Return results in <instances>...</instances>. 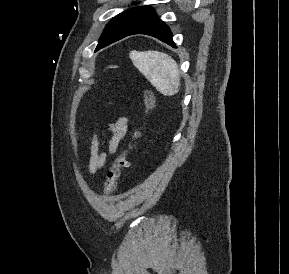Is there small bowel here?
Segmentation results:
<instances>
[{"instance_id": "1", "label": "small bowel", "mask_w": 289, "mask_h": 274, "mask_svg": "<svg viewBox=\"0 0 289 274\" xmlns=\"http://www.w3.org/2000/svg\"><path fill=\"white\" fill-rule=\"evenodd\" d=\"M127 129L128 119L125 116H121L109 125L111 137L108 140L107 145H104L99 141L97 134H92L88 162V170L91 175H94L97 171L105 168L107 155H113L117 152L120 143L126 135Z\"/></svg>"}]
</instances>
